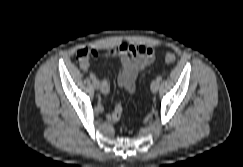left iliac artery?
<instances>
[{
	"label": "left iliac artery",
	"mask_w": 243,
	"mask_h": 167,
	"mask_svg": "<svg viewBox=\"0 0 243 167\" xmlns=\"http://www.w3.org/2000/svg\"><path fill=\"white\" fill-rule=\"evenodd\" d=\"M156 80H157L158 82H160V81L162 80V77H161V76H158V77L156 78Z\"/></svg>",
	"instance_id": "44dca946"
}]
</instances>
